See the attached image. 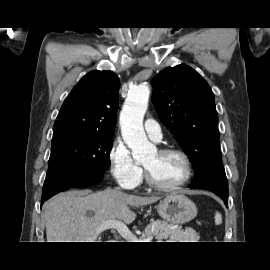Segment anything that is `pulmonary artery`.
I'll return each instance as SVG.
<instances>
[{"label": "pulmonary artery", "instance_id": "pulmonary-artery-1", "mask_svg": "<svg viewBox=\"0 0 270 270\" xmlns=\"http://www.w3.org/2000/svg\"><path fill=\"white\" fill-rule=\"evenodd\" d=\"M146 133L150 138L159 141L162 138V132L159 124L153 119H147L144 123Z\"/></svg>", "mask_w": 270, "mask_h": 270}]
</instances>
